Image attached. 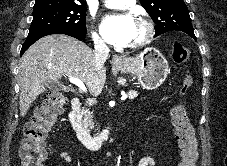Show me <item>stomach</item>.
<instances>
[{
  "label": "stomach",
  "instance_id": "stomach-1",
  "mask_svg": "<svg viewBox=\"0 0 227 166\" xmlns=\"http://www.w3.org/2000/svg\"><path fill=\"white\" fill-rule=\"evenodd\" d=\"M122 73L137 76L140 85L146 90L158 88L167 78L170 68L167 59L156 48H147L135 57L124 58L115 67Z\"/></svg>",
  "mask_w": 227,
  "mask_h": 166
}]
</instances>
